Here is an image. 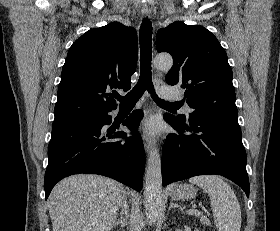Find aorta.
Here are the masks:
<instances>
[{"label":"aorta","instance_id":"762f6f07","mask_svg":"<svg viewBox=\"0 0 280 231\" xmlns=\"http://www.w3.org/2000/svg\"><path fill=\"white\" fill-rule=\"evenodd\" d=\"M153 64L157 70H170L173 60L169 54H159V56H155ZM147 163L144 185V207L146 217L150 221H156V217L162 207L161 157L158 147H153Z\"/></svg>","mask_w":280,"mask_h":231}]
</instances>
